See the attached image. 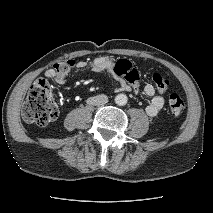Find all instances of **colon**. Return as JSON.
<instances>
[{
  "label": "colon",
  "instance_id": "obj_1",
  "mask_svg": "<svg viewBox=\"0 0 213 213\" xmlns=\"http://www.w3.org/2000/svg\"><path fill=\"white\" fill-rule=\"evenodd\" d=\"M74 61L67 60L54 65L56 73L66 76L73 68ZM132 64L128 60L116 62L114 72L119 76H128L132 72ZM153 82L157 90L164 93L169 88V80L156 73L153 75ZM169 109L174 116H179L185 108L184 100L178 94H171L169 97ZM59 114V106L55 99L50 84L44 79L36 80L31 86L22 108V117L28 123L40 126L55 121Z\"/></svg>",
  "mask_w": 213,
  "mask_h": 213
}]
</instances>
